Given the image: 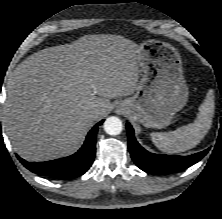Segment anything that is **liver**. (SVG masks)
Returning a JSON list of instances; mask_svg holds the SVG:
<instances>
[{"instance_id": "liver-1", "label": "liver", "mask_w": 222, "mask_h": 219, "mask_svg": "<svg viewBox=\"0 0 222 219\" xmlns=\"http://www.w3.org/2000/svg\"><path fill=\"white\" fill-rule=\"evenodd\" d=\"M138 53L131 40L98 34L22 61L8 78L4 107L15 152L31 162L76 152L88 127L111 110L109 99L136 91Z\"/></svg>"}]
</instances>
